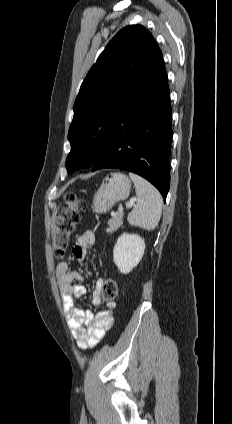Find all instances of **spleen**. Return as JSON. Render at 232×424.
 <instances>
[{
    "label": "spleen",
    "instance_id": "obj_1",
    "mask_svg": "<svg viewBox=\"0 0 232 424\" xmlns=\"http://www.w3.org/2000/svg\"><path fill=\"white\" fill-rule=\"evenodd\" d=\"M135 185L138 197L137 203L129 213L127 220L130 225L148 231L156 228L162 213V197L159 191L141 176L129 173Z\"/></svg>",
    "mask_w": 232,
    "mask_h": 424
}]
</instances>
